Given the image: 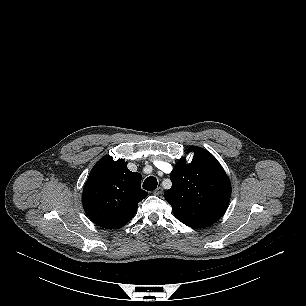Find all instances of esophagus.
I'll return each instance as SVG.
<instances>
[{"instance_id": "esophagus-1", "label": "esophagus", "mask_w": 306, "mask_h": 306, "mask_svg": "<svg viewBox=\"0 0 306 306\" xmlns=\"http://www.w3.org/2000/svg\"><path fill=\"white\" fill-rule=\"evenodd\" d=\"M163 192V189L161 187H158L156 190L153 191L154 195H159Z\"/></svg>"}]
</instances>
